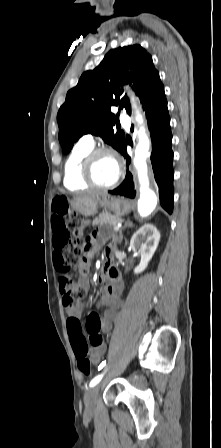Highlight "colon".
Returning <instances> with one entry per match:
<instances>
[{"mask_svg": "<svg viewBox=\"0 0 221 448\" xmlns=\"http://www.w3.org/2000/svg\"><path fill=\"white\" fill-rule=\"evenodd\" d=\"M53 209L62 214L61 219H54L53 229V259L55 268L62 273L60 278V291L62 294L63 306L72 309L77 306L78 301L85 293L84 286L76 283L70 272L74 264H85L90 257L89 239L82 238L77 232L79 218L74 212L69 213L68 199L56 197L53 202ZM100 317L91 311L87 314L84 329L88 335L89 344L98 347L103 344L104 338L100 334ZM68 332L71 336L77 368L84 375L91 374V362L88 357L89 346L87 340H81L82 324L78 319L70 318L67 322Z\"/></svg>", "mask_w": 221, "mask_h": 448, "instance_id": "obj_1", "label": "colon"}]
</instances>
